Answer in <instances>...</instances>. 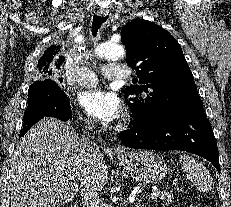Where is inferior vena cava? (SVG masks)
<instances>
[{
    "mask_svg": "<svg viewBox=\"0 0 231 207\" xmlns=\"http://www.w3.org/2000/svg\"><path fill=\"white\" fill-rule=\"evenodd\" d=\"M94 128L92 121H85L84 133L80 138L83 152L87 158V165L80 178V194L83 207H102L96 183L97 166L102 157L99 148L94 146L93 138L88 133L89 131L92 132Z\"/></svg>",
    "mask_w": 231,
    "mask_h": 207,
    "instance_id": "1",
    "label": "inferior vena cava"
}]
</instances>
